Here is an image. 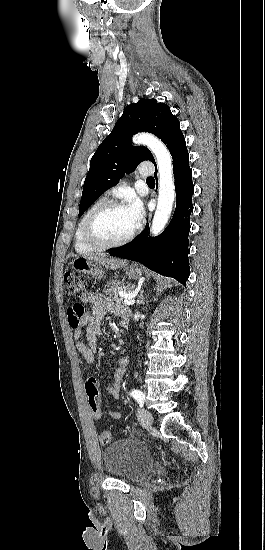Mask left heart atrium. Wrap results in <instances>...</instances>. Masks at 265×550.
<instances>
[{"instance_id": "1", "label": "left heart atrium", "mask_w": 265, "mask_h": 550, "mask_svg": "<svg viewBox=\"0 0 265 550\" xmlns=\"http://www.w3.org/2000/svg\"><path fill=\"white\" fill-rule=\"evenodd\" d=\"M126 208L128 209L134 224L138 226L143 217V207L141 202L138 199L134 198L130 201Z\"/></svg>"}]
</instances>
